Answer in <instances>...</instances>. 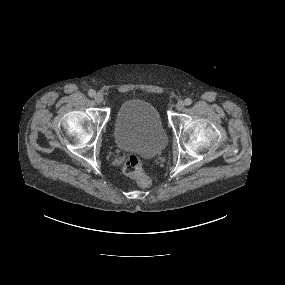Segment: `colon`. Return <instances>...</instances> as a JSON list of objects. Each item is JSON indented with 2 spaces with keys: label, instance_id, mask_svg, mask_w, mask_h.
<instances>
[{
  "label": "colon",
  "instance_id": "1",
  "mask_svg": "<svg viewBox=\"0 0 285 285\" xmlns=\"http://www.w3.org/2000/svg\"><path fill=\"white\" fill-rule=\"evenodd\" d=\"M123 171L142 187H148L151 184V178L144 171L142 160L137 155L131 154L125 158Z\"/></svg>",
  "mask_w": 285,
  "mask_h": 285
}]
</instances>
